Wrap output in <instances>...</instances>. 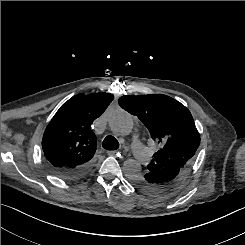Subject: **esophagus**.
<instances>
[{
    "instance_id": "obj_1",
    "label": "esophagus",
    "mask_w": 245,
    "mask_h": 245,
    "mask_svg": "<svg viewBox=\"0 0 245 245\" xmlns=\"http://www.w3.org/2000/svg\"><path fill=\"white\" fill-rule=\"evenodd\" d=\"M107 154L109 156H116V155H120V153H118L117 151H107ZM120 158H122V156L120 155Z\"/></svg>"
}]
</instances>
